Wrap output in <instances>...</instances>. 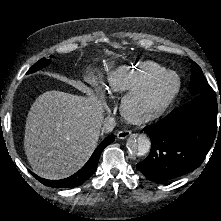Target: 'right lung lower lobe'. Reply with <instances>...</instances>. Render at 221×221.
Here are the masks:
<instances>
[{
	"label": "right lung lower lobe",
	"instance_id": "98d812e1",
	"mask_svg": "<svg viewBox=\"0 0 221 221\" xmlns=\"http://www.w3.org/2000/svg\"><path fill=\"white\" fill-rule=\"evenodd\" d=\"M115 135H110L106 137L101 144L97 146L87 163L76 173L68 178L61 180H47L38 177L36 174L32 173L33 176L39 180L42 184L53 187V188H73L82 185L88 178L92 176L97 168V164L103 149L114 141Z\"/></svg>",
	"mask_w": 221,
	"mask_h": 221
}]
</instances>
